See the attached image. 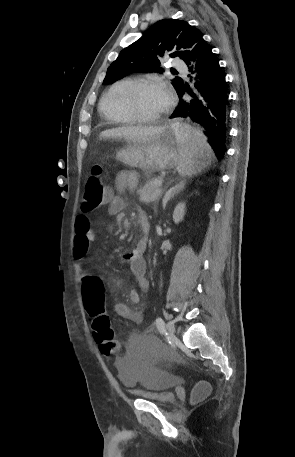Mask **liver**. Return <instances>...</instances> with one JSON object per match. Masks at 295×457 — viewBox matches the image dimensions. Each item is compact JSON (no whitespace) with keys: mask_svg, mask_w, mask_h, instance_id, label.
<instances>
[{"mask_svg":"<svg viewBox=\"0 0 295 457\" xmlns=\"http://www.w3.org/2000/svg\"><path fill=\"white\" fill-rule=\"evenodd\" d=\"M163 126H125L108 129L100 133L102 139H124L133 142H148L158 135Z\"/></svg>","mask_w":295,"mask_h":457,"instance_id":"1","label":"liver"}]
</instances>
